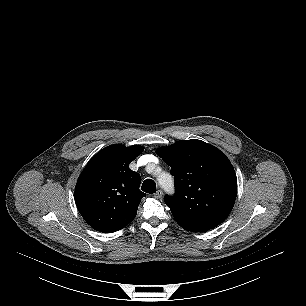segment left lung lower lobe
<instances>
[{
    "label": "left lung lower lobe",
    "mask_w": 306,
    "mask_h": 306,
    "mask_svg": "<svg viewBox=\"0 0 306 306\" xmlns=\"http://www.w3.org/2000/svg\"><path fill=\"white\" fill-rule=\"evenodd\" d=\"M184 229H186L188 231H193V232H203V231H205V230H199V229L188 228V227H184Z\"/></svg>",
    "instance_id": "obj_1"
}]
</instances>
